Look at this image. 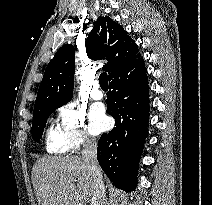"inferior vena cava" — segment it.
<instances>
[{
    "mask_svg": "<svg viewBox=\"0 0 212 205\" xmlns=\"http://www.w3.org/2000/svg\"><path fill=\"white\" fill-rule=\"evenodd\" d=\"M82 160L92 172L93 196L91 205H106L105 186L97 161V142L90 136L84 137Z\"/></svg>",
    "mask_w": 212,
    "mask_h": 205,
    "instance_id": "602c4592",
    "label": "inferior vena cava"
}]
</instances>
